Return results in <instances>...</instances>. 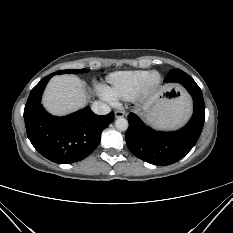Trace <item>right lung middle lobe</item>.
Segmentation results:
<instances>
[{
    "instance_id": "obj_1",
    "label": "right lung middle lobe",
    "mask_w": 233,
    "mask_h": 233,
    "mask_svg": "<svg viewBox=\"0 0 233 233\" xmlns=\"http://www.w3.org/2000/svg\"><path fill=\"white\" fill-rule=\"evenodd\" d=\"M88 69H79V70H60L58 72H54V74H64V73H84L87 72Z\"/></svg>"
}]
</instances>
